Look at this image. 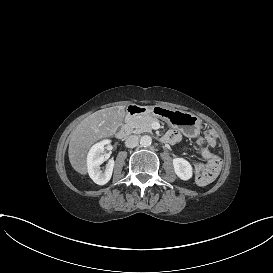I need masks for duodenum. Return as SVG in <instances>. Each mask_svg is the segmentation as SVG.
Wrapping results in <instances>:
<instances>
[{
  "mask_svg": "<svg viewBox=\"0 0 273 273\" xmlns=\"http://www.w3.org/2000/svg\"><path fill=\"white\" fill-rule=\"evenodd\" d=\"M147 111L143 107L138 106H131L128 108L127 117L126 120L129 121L133 117L137 115L145 114ZM129 134V128L127 126H123L120 128V130L117 132V138L123 139Z\"/></svg>",
  "mask_w": 273,
  "mask_h": 273,
  "instance_id": "410a0bca",
  "label": "duodenum"
}]
</instances>
